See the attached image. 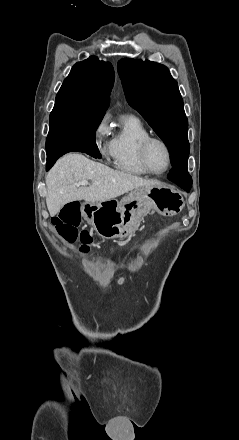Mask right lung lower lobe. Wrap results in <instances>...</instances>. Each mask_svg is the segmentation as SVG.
<instances>
[{"label": "right lung lower lobe", "mask_w": 239, "mask_h": 440, "mask_svg": "<svg viewBox=\"0 0 239 440\" xmlns=\"http://www.w3.org/2000/svg\"><path fill=\"white\" fill-rule=\"evenodd\" d=\"M72 151L86 153L94 158H101V154L99 153V150H98L96 144L84 145L81 147H75V148L59 151V152L53 153L51 155H47L46 169L49 170L60 156H62L63 154H65L67 152H72Z\"/></svg>", "instance_id": "1"}]
</instances>
